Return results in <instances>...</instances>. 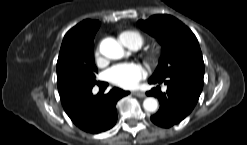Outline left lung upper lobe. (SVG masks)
Returning <instances> with one entry per match:
<instances>
[{"instance_id": "obj_1", "label": "left lung upper lobe", "mask_w": 247, "mask_h": 145, "mask_svg": "<svg viewBox=\"0 0 247 145\" xmlns=\"http://www.w3.org/2000/svg\"><path fill=\"white\" fill-rule=\"evenodd\" d=\"M138 25L162 45L159 65L150 79L161 80L180 73L204 77V62L198 40L181 21L163 14L140 20Z\"/></svg>"}]
</instances>
